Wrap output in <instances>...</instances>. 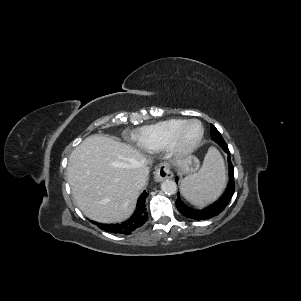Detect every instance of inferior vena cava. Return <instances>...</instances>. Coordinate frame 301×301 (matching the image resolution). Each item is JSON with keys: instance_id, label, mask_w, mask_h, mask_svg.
Listing matches in <instances>:
<instances>
[{"instance_id": "602c4592", "label": "inferior vena cava", "mask_w": 301, "mask_h": 301, "mask_svg": "<svg viewBox=\"0 0 301 301\" xmlns=\"http://www.w3.org/2000/svg\"><path fill=\"white\" fill-rule=\"evenodd\" d=\"M147 181V173L144 172V173H141V174H138L135 178H134V184L136 187L138 188H141L142 186L145 185Z\"/></svg>"}]
</instances>
